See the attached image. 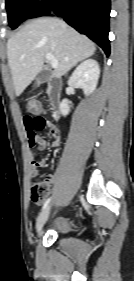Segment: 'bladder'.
I'll return each instance as SVG.
<instances>
[{
    "label": "bladder",
    "instance_id": "1",
    "mask_svg": "<svg viewBox=\"0 0 134 281\" xmlns=\"http://www.w3.org/2000/svg\"><path fill=\"white\" fill-rule=\"evenodd\" d=\"M73 227V221L64 216H59L57 217L53 223H52V228L61 235L68 234Z\"/></svg>",
    "mask_w": 134,
    "mask_h": 281
}]
</instances>
